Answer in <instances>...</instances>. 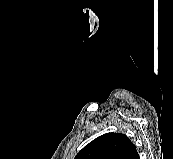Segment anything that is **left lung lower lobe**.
Listing matches in <instances>:
<instances>
[{
    "mask_svg": "<svg viewBox=\"0 0 173 159\" xmlns=\"http://www.w3.org/2000/svg\"><path fill=\"white\" fill-rule=\"evenodd\" d=\"M136 159H140V158H139V155H138V157H137Z\"/></svg>",
    "mask_w": 173,
    "mask_h": 159,
    "instance_id": "0a47b994",
    "label": "left lung lower lobe"
}]
</instances>
